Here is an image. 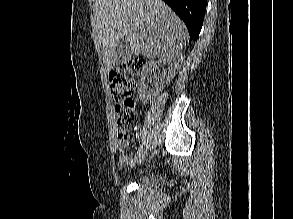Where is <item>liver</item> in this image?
<instances>
[{"mask_svg": "<svg viewBox=\"0 0 293 219\" xmlns=\"http://www.w3.org/2000/svg\"><path fill=\"white\" fill-rule=\"evenodd\" d=\"M94 19V44L107 71L116 63L121 38L134 55L155 58L178 52L187 37L184 23L162 0H97Z\"/></svg>", "mask_w": 293, "mask_h": 219, "instance_id": "6515ba94", "label": "liver"}]
</instances>
